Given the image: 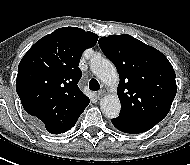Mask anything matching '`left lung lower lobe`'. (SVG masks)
<instances>
[{"label": "left lung lower lobe", "instance_id": "0a47b994", "mask_svg": "<svg viewBox=\"0 0 190 165\" xmlns=\"http://www.w3.org/2000/svg\"><path fill=\"white\" fill-rule=\"evenodd\" d=\"M111 122L118 130L131 134L146 132L156 125L149 122L132 121L122 117L111 119Z\"/></svg>", "mask_w": 190, "mask_h": 165}]
</instances>
